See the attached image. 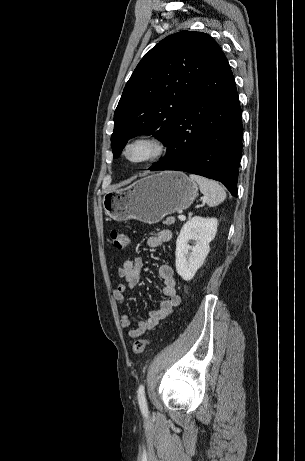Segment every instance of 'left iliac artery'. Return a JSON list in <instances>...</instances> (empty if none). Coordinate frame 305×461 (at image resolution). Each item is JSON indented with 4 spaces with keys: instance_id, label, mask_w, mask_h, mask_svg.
Returning <instances> with one entry per match:
<instances>
[{
    "instance_id": "obj_1",
    "label": "left iliac artery",
    "mask_w": 305,
    "mask_h": 461,
    "mask_svg": "<svg viewBox=\"0 0 305 461\" xmlns=\"http://www.w3.org/2000/svg\"><path fill=\"white\" fill-rule=\"evenodd\" d=\"M137 393H138V402H139L140 409L144 414H147L148 408H147L144 386L142 384L139 386Z\"/></svg>"
}]
</instances>
